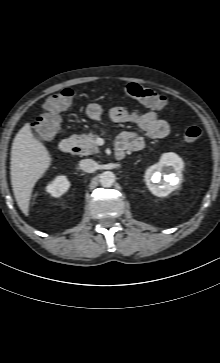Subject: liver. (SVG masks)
I'll use <instances>...</instances> for the list:
<instances>
[{"label": "liver", "instance_id": "1", "mask_svg": "<svg viewBox=\"0 0 220 363\" xmlns=\"http://www.w3.org/2000/svg\"><path fill=\"white\" fill-rule=\"evenodd\" d=\"M52 162L45 145L35 138L30 123L16 134L11 148L10 175L13 193L20 210L29 215L31 194L36 182Z\"/></svg>", "mask_w": 220, "mask_h": 363}]
</instances>
